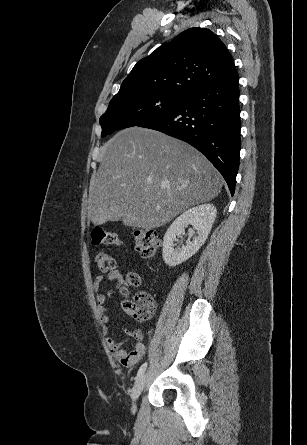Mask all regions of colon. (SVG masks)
I'll return each mask as SVG.
<instances>
[{"label": "colon", "mask_w": 307, "mask_h": 445, "mask_svg": "<svg viewBox=\"0 0 307 445\" xmlns=\"http://www.w3.org/2000/svg\"><path fill=\"white\" fill-rule=\"evenodd\" d=\"M91 240L93 245H121V239L115 232L105 230L100 226H95L92 229ZM134 243L137 252L142 258L151 259L156 255L161 240L154 230L137 228L134 230ZM96 262L99 269L103 272H110L116 268L115 259L106 252H99L96 255ZM126 281L128 285L136 286L140 283V277L135 273H130ZM123 308L137 321L148 320L155 312L153 299L144 292L138 293L133 300L124 301Z\"/></svg>", "instance_id": "colon-1"}]
</instances>
